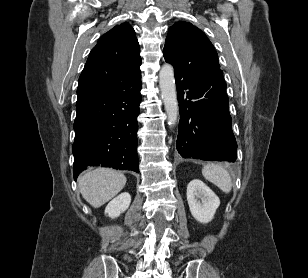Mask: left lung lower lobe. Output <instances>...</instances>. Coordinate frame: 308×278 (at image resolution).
<instances>
[{
    "instance_id": "left-lung-lower-lobe-1",
    "label": "left lung lower lobe",
    "mask_w": 308,
    "mask_h": 278,
    "mask_svg": "<svg viewBox=\"0 0 308 278\" xmlns=\"http://www.w3.org/2000/svg\"><path fill=\"white\" fill-rule=\"evenodd\" d=\"M180 123L177 150L183 158L234 162L237 143L222 70L175 77Z\"/></svg>"
}]
</instances>
